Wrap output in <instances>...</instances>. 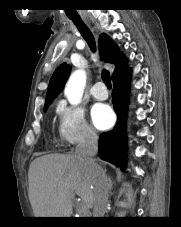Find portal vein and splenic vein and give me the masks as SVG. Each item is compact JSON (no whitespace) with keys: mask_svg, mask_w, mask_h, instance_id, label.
Wrapping results in <instances>:
<instances>
[{"mask_svg":"<svg viewBox=\"0 0 181 227\" xmlns=\"http://www.w3.org/2000/svg\"><path fill=\"white\" fill-rule=\"evenodd\" d=\"M81 209H82V210H85V209H86V206H85V205H82V206H81Z\"/></svg>","mask_w":181,"mask_h":227,"instance_id":"18ae733b","label":"portal vein and splenic vein"}]
</instances>
